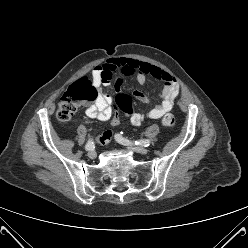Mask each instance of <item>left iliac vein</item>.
Here are the masks:
<instances>
[{
	"label": "left iliac vein",
	"instance_id": "1",
	"mask_svg": "<svg viewBox=\"0 0 248 248\" xmlns=\"http://www.w3.org/2000/svg\"><path fill=\"white\" fill-rule=\"evenodd\" d=\"M128 148H131L132 150L141 153V154H147L148 153V149L143 148V147H139V146H132L131 144H127L126 145Z\"/></svg>",
	"mask_w": 248,
	"mask_h": 248
}]
</instances>
